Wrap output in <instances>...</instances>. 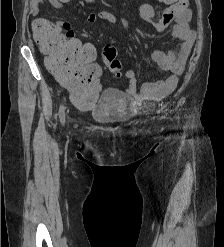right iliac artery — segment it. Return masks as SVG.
<instances>
[{"label":"right iliac artery","instance_id":"obj_1","mask_svg":"<svg viewBox=\"0 0 224 247\" xmlns=\"http://www.w3.org/2000/svg\"><path fill=\"white\" fill-rule=\"evenodd\" d=\"M59 117H60L61 123L64 124L65 123V112H64V106L63 105L60 106Z\"/></svg>","mask_w":224,"mask_h":247}]
</instances>
